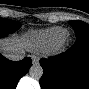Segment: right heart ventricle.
I'll list each match as a JSON object with an SVG mask.
<instances>
[{"label": "right heart ventricle", "instance_id": "right-heart-ventricle-1", "mask_svg": "<svg viewBox=\"0 0 89 89\" xmlns=\"http://www.w3.org/2000/svg\"><path fill=\"white\" fill-rule=\"evenodd\" d=\"M64 32L65 30L58 26L29 31L25 36L27 48L33 51L49 50Z\"/></svg>", "mask_w": 89, "mask_h": 89}]
</instances>
